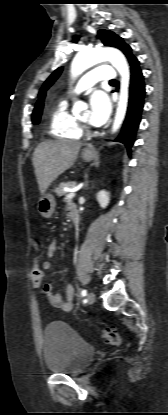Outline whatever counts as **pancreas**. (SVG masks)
Segmentation results:
<instances>
[{
    "label": "pancreas",
    "mask_w": 168,
    "mask_h": 415,
    "mask_svg": "<svg viewBox=\"0 0 168 415\" xmlns=\"http://www.w3.org/2000/svg\"><path fill=\"white\" fill-rule=\"evenodd\" d=\"M76 186V182H62L60 185L55 189V193L57 196L67 195V192L64 191V187L73 188Z\"/></svg>",
    "instance_id": "obj_1"
}]
</instances>
